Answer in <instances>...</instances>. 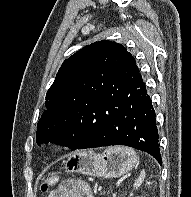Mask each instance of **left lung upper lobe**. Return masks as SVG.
Segmentation results:
<instances>
[{
  "label": "left lung upper lobe",
  "instance_id": "left-lung-upper-lobe-1",
  "mask_svg": "<svg viewBox=\"0 0 191 197\" xmlns=\"http://www.w3.org/2000/svg\"><path fill=\"white\" fill-rule=\"evenodd\" d=\"M135 73H139L135 59L116 42L98 41L74 53L63 62L47 92L46 110L37 125V143L66 146V134L76 118L92 113L102 94L117 89Z\"/></svg>",
  "mask_w": 191,
  "mask_h": 197
}]
</instances>
